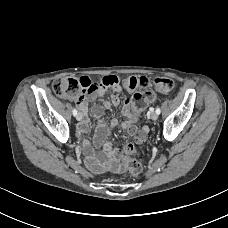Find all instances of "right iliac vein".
<instances>
[{"label":"right iliac vein","mask_w":228,"mask_h":228,"mask_svg":"<svg viewBox=\"0 0 228 228\" xmlns=\"http://www.w3.org/2000/svg\"><path fill=\"white\" fill-rule=\"evenodd\" d=\"M81 118H82L81 113H78V114L76 115V119H77L78 121H80Z\"/></svg>","instance_id":"obj_1"}]
</instances>
